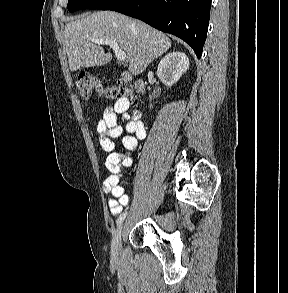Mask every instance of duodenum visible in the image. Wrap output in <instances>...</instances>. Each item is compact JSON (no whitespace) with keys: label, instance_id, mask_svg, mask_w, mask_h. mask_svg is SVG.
Masks as SVG:
<instances>
[{"label":"duodenum","instance_id":"duodenum-1","mask_svg":"<svg viewBox=\"0 0 288 293\" xmlns=\"http://www.w3.org/2000/svg\"><path fill=\"white\" fill-rule=\"evenodd\" d=\"M123 79L125 81H132V76L128 72L123 73ZM134 86L136 89H138L140 92L144 91V83L140 80L134 81Z\"/></svg>","mask_w":288,"mask_h":293}]
</instances>
